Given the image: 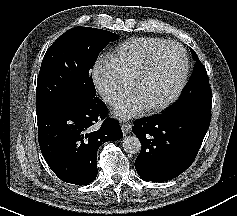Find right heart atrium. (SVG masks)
I'll return each mask as SVG.
<instances>
[{
  "instance_id": "obj_1",
  "label": "right heart atrium",
  "mask_w": 237,
  "mask_h": 216,
  "mask_svg": "<svg viewBox=\"0 0 237 216\" xmlns=\"http://www.w3.org/2000/svg\"><path fill=\"white\" fill-rule=\"evenodd\" d=\"M90 84L100 91L105 97L115 102L124 97V91L121 86L111 77H107L101 69H94L90 72Z\"/></svg>"
}]
</instances>
